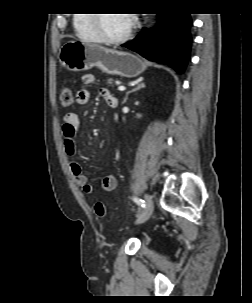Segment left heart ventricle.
<instances>
[{"label": "left heart ventricle", "mask_w": 252, "mask_h": 303, "mask_svg": "<svg viewBox=\"0 0 252 303\" xmlns=\"http://www.w3.org/2000/svg\"><path fill=\"white\" fill-rule=\"evenodd\" d=\"M130 25V17L124 13L104 14L102 28L111 37L122 35Z\"/></svg>", "instance_id": "1"}]
</instances>
